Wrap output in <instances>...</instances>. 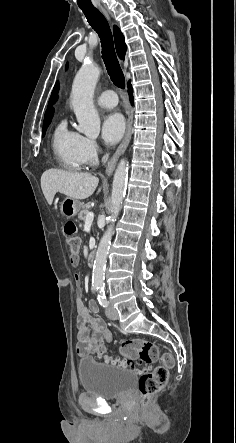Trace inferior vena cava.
Masks as SVG:
<instances>
[{
    "instance_id": "1",
    "label": "inferior vena cava",
    "mask_w": 236,
    "mask_h": 443,
    "mask_svg": "<svg viewBox=\"0 0 236 443\" xmlns=\"http://www.w3.org/2000/svg\"><path fill=\"white\" fill-rule=\"evenodd\" d=\"M108 159V154H106L104 157H103V161H106Z\"/></svg>"
}]
</instances>
